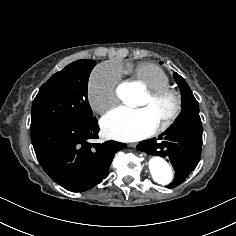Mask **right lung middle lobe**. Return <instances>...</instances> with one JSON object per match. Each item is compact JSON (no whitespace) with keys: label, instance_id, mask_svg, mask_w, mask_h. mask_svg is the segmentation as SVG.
I'll return each mask as SVG.
<instances>
[{"label":"right lung middle lobe","instance_id":"right-lung-middle-lobe-1","mask_svg":"<svg viewBox=\"0 0 236 236\" xmlns=\"http://www.w3.org/2000/svg\"><path fill=\"white\" fill-rule=\"evenodd\" d=\"M94 66L93 60H78L52 75L32 103L31 127L59 120L91 118L87 88Z\"/></svg>","mask_w":236,"mask_h":236}]
</instances>
